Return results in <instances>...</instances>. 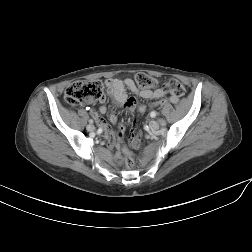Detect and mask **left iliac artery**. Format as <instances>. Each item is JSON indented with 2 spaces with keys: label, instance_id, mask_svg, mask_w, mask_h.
<instances>
[{
  "label": "left iliac artery",
  "instance_id": "44dca946",
  "mask_svg": "<svg viewBox=\"0 0 252 252\" xmlns=\"http://www.w3.org/2000/svg\"><path fill=\"white\" fill-rule=\"evenodd\" d=\"M156 114H157V113H156L155 111H152V112L150 113V116L154 118V117L156 116Z\"/></svg>",
  "mask_w": 252,
  "mask_h": 252
}]
</instances>
